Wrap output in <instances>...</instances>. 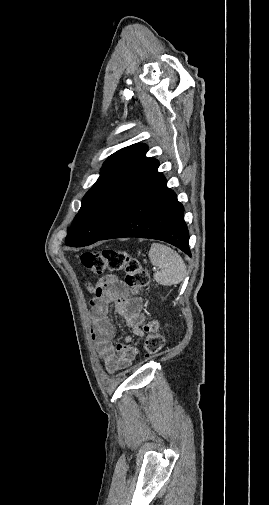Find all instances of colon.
Returning <instances> with one entry per match:
<instances>
[{
    "mask_svg": "<svg viewBox=\"0 0 269 505\" xmlns=\"http://www.w3.org/2000/svg\"><path fill=\"white\" fill-rule=\"evenodd\" d=\"M81 264L92 272L94 281L103 279L105 271H124L125 283L133 295L140 294L150 283V276L141 262L123 250L105 249L100 252H85L80 256ZM147 333L144 342L146 355H155L165 346V337L159 330L157 321L144 324Z\"/></svg>",
    "mask_w": 269,
    "mask_h": 505,
    "instance_id": "colon-1",
    "label": "colon"
}]
</instances>
